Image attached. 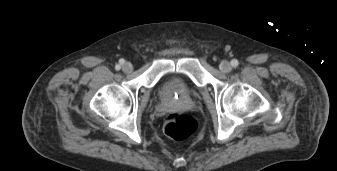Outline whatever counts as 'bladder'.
Returning <instances> with one entry per match:
<instances>
[{
    "instance_id": "bladder-1",
    "label": "bladder",
    "mask_w": 337,
    "mask_h": 171,
    "mask_svg": "<svg viewBox=\"0 0 337 171\" xmlns=\"http://www.w3.org/2000/svg\"><path fill=\"white\" fill-rule=\"evenodd\" d=\"M175 91H178L181 95L190 96L191 91L188 88L178 86L174 81L170 80L162 84L159 93L163 98L171 97Z\"/></svg>"
}]
</instances>
